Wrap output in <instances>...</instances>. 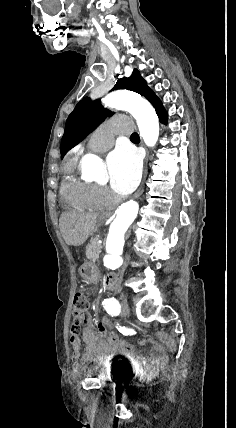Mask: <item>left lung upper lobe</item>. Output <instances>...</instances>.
<instances>
[{
	"instance_id": "5c2ea615",
	"label": "left lung upper lobe",
	"mask_w": 236,
	"mask_h": 428,
	"mask_svg": "<svg viewBox=\"0 0 236 428\" xmlns=\"http://www.w3.org/2000/svg\"><path fill=\"white\" fill-rule=\"evenodd\" d=\"M116 89H128L139 93L148 99L156 110L163 107L137 69H134L130 77L119 79L112 90ZM112 114L101 106L100 100L92 101L89 97L83 98L67 118L60 145L61 158Z\"/></svg>"
}]
</instances>
